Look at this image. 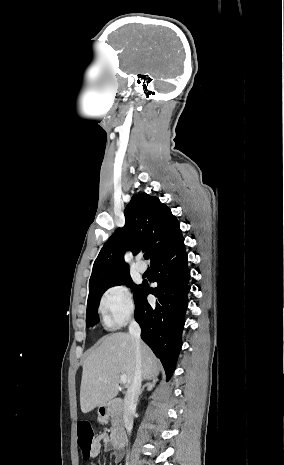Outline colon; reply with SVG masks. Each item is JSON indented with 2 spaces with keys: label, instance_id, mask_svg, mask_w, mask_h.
<instances>
[{
  "label": "colon",
  "instance_id": "colon-1",
  "mask_svg": "<svg viewBox=\"0 0 284 465\" xmlns=\"http://www.w3.org/2000/svg\"><path fill=\"white\" fill-rule=\"evenodd\" d=\"M77 433L81 457L83 460L88 461L91 458L92 447L95 441L92 424L88 421L78 423Z\"/></svg>",
  "mask_w": 284,
  "mask_h": 465
}]
</instances>
